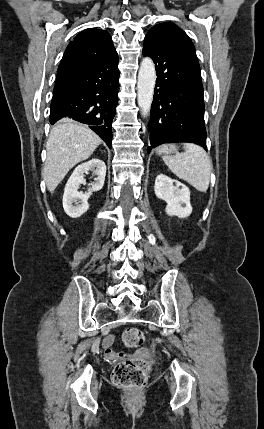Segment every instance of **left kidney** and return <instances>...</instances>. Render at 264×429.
<instances>
[{
	"mask_svg": "<svg viewBox=\"0 0 264 429\" xmlns=\"http://www.w3.org/2000/svg\"><path fill=\"white\" fill-rule=\"evenodd\" d=\"M154 191L159 199L167 203L166 213L169 216L187 218L192 213L189 188L166 175L156 177Z\"/></svg>",
	"mask_w": 264,
	"mask_h": 429,
	"instance_id": "left-kidney-1",
	"label": "left kidney"
}]
</instances>
